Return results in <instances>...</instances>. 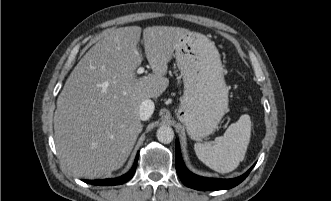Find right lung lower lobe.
Masks as SVG:
<instances>
[{
	"mask_svg": "<svg viewBox=\"0 0 331 201\" xmlns=\"http://www.w3.org/2000/svg\"><path fill=\"white\" fill-rule=\"evenodd\" d=\"M137 160H138V156L135 159L132 169L127 174H125L119 178L104 179V180H84V182L89 183V184H94V185H103V186L123 184V183L129 181L133 177V175L135 173V169L137 167Z\"/></svg>",
	"mask_w": 331,
	"mask_h": 201,
	"instance_id": "right-lung-lower-lobe-1",
	"label": "right lung lower lobe"
}]
</instances>
